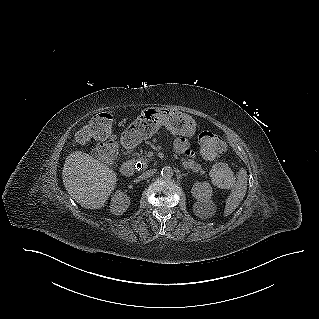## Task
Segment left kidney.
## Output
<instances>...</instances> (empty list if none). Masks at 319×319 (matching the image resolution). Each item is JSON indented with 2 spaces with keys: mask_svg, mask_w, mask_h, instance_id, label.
<instances>
[{
  "mask_svg": "<svg viewBox=\"0 0 319 319\" xmlns=\"http://www.w3.org/2000/svg\"><path fill=\"white\" fill-rule=\"evenodd\" d=\"M193 197L197 199L195 204L196 213L201 217L212 216L216 211L215 204L210 200L212 189L207 182H196L191 190Z\"/></svg>",
  "mask_w": 319,
  "mask_h": 319,
  "instance_id": "5707ae66",
  "label": "left kidney"
}]
</instances>
